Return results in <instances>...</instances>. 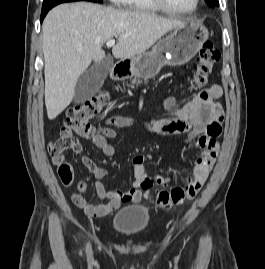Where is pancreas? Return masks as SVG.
Masks as SVG:
<instances>
[{"instance_id": "pancreas-1", "label": "pancreas", "mask_w": 265, "mask_h": 269, "mask_svg": "<svg viewBox=\"0 0 265 269\" xmlns=\"http://www.w3.org/2000/svg\"><path fill=\"white\" fill-rule=\"evenodd\" d=\"M140 83V80H139V77H134L131 81V84L134 85V84H139Z\"/></svg>"}]
</instances>
